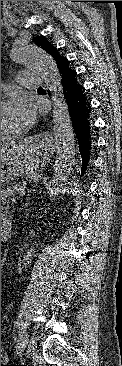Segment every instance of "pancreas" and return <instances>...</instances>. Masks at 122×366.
Returning a JSON list of instances; mask_svg holds the SVG:
<instances>
[{
	"instance_id": "cf45deb5",
	"label": "pancreas",
	"mask_w": 122,
	"mask_h": 366,
	"mask_svg": "<svg viewBox=\"0 0 122 366\" xmlns=\"http://www.w3.org/2000/svg\"><path fill=\"white\" fill-rule=\"evenodd\" d=\"M22 190H24V186L15 183L4 187L1 189V201L8 202L16 194V192H20Z\"/></svg>"
}]
</instances>
